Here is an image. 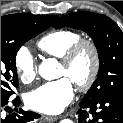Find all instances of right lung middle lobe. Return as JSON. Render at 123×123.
<instances>
[{"label": "right lung middle lobe", "instance_id": "1", "mask_svg": "<svg viewBox=\"0 0 123 123\" xmlns=\"http://www.w3.org/2000/svg\"><path fill=\"white\" fill-rule=\"evenodd\" d=\"M50 26L44 18L1 20V98H10L15 94L13 87H18L15 60L20 47Z\"/></svg>", "mask_w": 123, "mask_h": 123}]
</instances>
